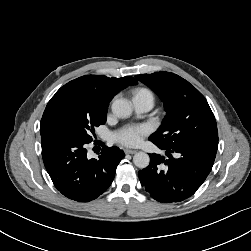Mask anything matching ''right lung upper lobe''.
Segmentation results:
<instances>
[{"mask_svg":"<svg viewBox=\"0 0 251 251\" xmlns=\"http://www.w3.org/2000/svg\"><path fill=\"white\" fill-rule=\"evenodd\" d=\"M136 82L130 76L109 78L104 75H85L70 81L66 85L89 93L99 104L108 108L109 102L121 89Z\"/></svg>","mask_w":251,"mask_h":251,"instance_id":"cb5924a9","label":"right lung upper lobe"}]
</instances>
